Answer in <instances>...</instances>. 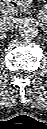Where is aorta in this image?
<instances>
[{
    "mask_svg": "<svg viewBox=\"0 0 47 129\" xmlns=\"http://www.w3.org/2000/svg\"><path fill=\"white\" fill-rule=\"evenodd\" d=\"M19 34L26 40L34 39L38 35V27L32 21H24L19 27Z\"/></svg>",
    "mask_w": 47,
    "mask_h": 129,
    "instance_id": "762f6f07",
    "label": "aorta"
}]
</instances>
